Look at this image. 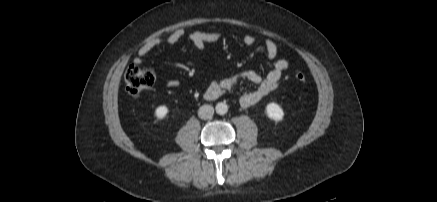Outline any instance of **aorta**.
I'll list each match as a JSON object with an SVG mask.
<instances>
[{"instance_id": "aorta-1", "label": "aorta", "mask_w": 437, "mask_h": 202, "mask_svg": "<svg viewBox=\"0 0 437 202\" xmlns=\"http://www.w3.org/2000/svg\"><path fill=\"white\" fill-rule=\"evenodd\" d=\"M215 110L217 114L224 115L228 111V106L225 102H219L216 104Z\"/></svg>"}]
</instances>
